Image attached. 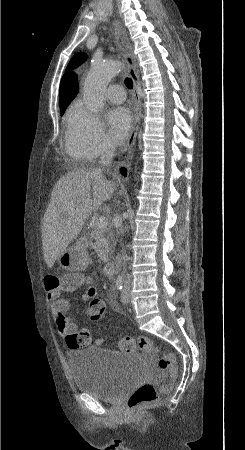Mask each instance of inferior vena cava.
I'll return each instance as SVG.
<instances>
[{
	"mask_svg": "<svg viewBox=\"0 0 245 450\" xmlns=\"http://www.w3.org/2000/svg\"><path fill=\"white\" fill-rule=\"evenodd\" d=\"M114 151H115V147L114 145H112L109 142H105L103 144L102 150H101V164L103 166H108L110 165L112 158L114 156ZM117 222L120 225L121 224V218L119 216H117ZM122 260H123V265H125L126 261L128 260V256L124 253L122 254ZM125 284H130V276L129 274H126V280H125Z\"/></svg>",
	"mask_w": 245,
	"mask_h": 450,
	"instance_id": "1",
	"label": "inferior vena cava"
}]
</instances>
